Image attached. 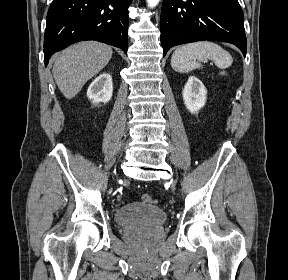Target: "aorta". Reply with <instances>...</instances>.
<instances>
[{
  "label": "aorta",
  "mask_w": 288,
  "mask_h": 280,
  "mask_svg": "<svg viewBox=\"0 0 288 280\" xmlns=\"http://www.w3.org/2000/svg\"><path fill=\"white\" fill-rule=\"evenodd\" d=\"M160 0H147V4L149 7L153 8L155 7L156 5H158Z\"/></svg>",
  "instance_id": "762f6f07"
}]
</instances>
